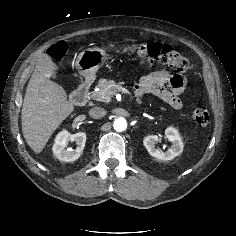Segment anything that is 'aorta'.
<instances>
[{"label": "aorta", "instance_id": "762f6f07", "mask_svg": "<svg viewBox=\"0 0 236 236\" xmlns=\"http://www.w3.org/2000/svg\"><path fill=\"white\" fill-rule=\"evenodd\" d=\"M114 129L116 131H124L127 128V122L126 119L123 117L116 118L114 120Z\"/></svg>", "mask_w": 236, "mask_h": 236}]
</instances>
